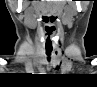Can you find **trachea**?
<instances>
[{
	"mask_svg": "<svg viewBox=\"0 0 97 87\" xmlns=\"http://www.w3.org/2000/svg\"><path fill=\"white\" fill-rule=\"evenodd\" d=\"M51 51H52V49H47L46 50V53L48 55V60H50Z\"/></svg>",
	"mask_w": 97,
	"mask_h": 87,
	"instance_id": "1",
	"label": "trachea"
}]
</instances>
